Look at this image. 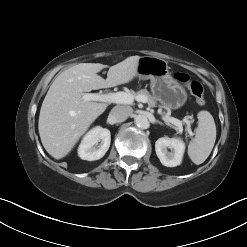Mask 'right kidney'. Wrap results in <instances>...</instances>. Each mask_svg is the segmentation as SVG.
Instances as JSON below:
<instances>
[{
  "label": "right kidney",
  "instance_id": "ca27d5eb",
  "mask_svg": "<svg viewBox=\"0 0 247 247\" xmlns=\"http://www.w3.org/2000/svg\"><path fill=\"white\" fill-rule=\"evenodd\" d=\"M110 142V131L97 126L83 137L78 148V155L81 159L88 161L101 159L108 151Z\"/></svg>",
  "mask_w": 247,
  "mask_h": 247
}]
</instances>
